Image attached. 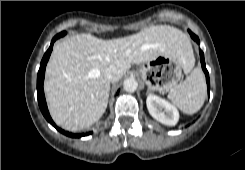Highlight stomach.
Wrapping results in <instances>:
<instances>
[{
	"label": "stomach",
	"instance_id": "obj_1",
	"mask_svg": "<svg viewBox=\"0 0 245 170\" xmlns=\"http://www.w3.org/2000/svg\"><path fill=\"white\" fill-rule=\"evenodd\" d=\"M138 70L149 91L168 92L183 76V66L173 54L159 55L141 64Z\"/></svg>",
	"mask_w": 245,
	"mask_h": 170
}]
</instances>
